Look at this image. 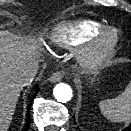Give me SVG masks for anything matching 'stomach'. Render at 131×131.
Here are the masks:
<instances>
[{
  "label": "stomach",
  "instance_id": "0dacf381",
  "mask_svg": "<svg viewBox=\"0 0 131 131\" xmlns=\"http://www.w3.org/2000/svg\"><path fill=\"white\" fill-rule=\"evenodd\" d=\"M94 77L96 76V72H93ZM92 81H94V78H92Z\"/></svg>",
  "mask_w": 131,
  "mask_h": 131
}]
</instances>
